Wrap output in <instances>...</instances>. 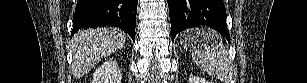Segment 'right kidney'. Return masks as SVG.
Here are the masks:
<instances>
[{
  "mask_svg": "<svg viewBox=\"0 0 307 83\" xmlns=\"http://www.w3.org/2000/svg\"><path fill=\"white\" fill-rule=\"evenodd\" d=\"M121 79V69L117 62L109 60L95 70L92 83H120Z\"/></svg>",
  "mask_w": 307,
  "mask_h": 83,
  "instance_id": "right-kidney-1",
  "label": "right kidney"
}]
</instances>
